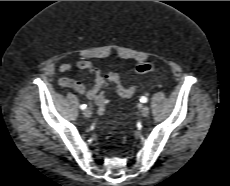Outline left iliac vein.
<instances>
[{
	"mask_svg": "<svg viewBox=\"0 0 230 186\" xmlns=\"http://www.w3.org/2000/svg\"><path fill=\"white\" fill-rule=\"evenodd\" d=\"M149 107L147 105H142L141 106V114L143 117H147L149 115Z\"/></svg>",
	"mask_w": 230,
	"mask_h": 186,
	"instance_id": "left-iliac-vein-1",
	"label": "left iliac vein"
}]
</instances>
